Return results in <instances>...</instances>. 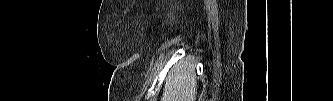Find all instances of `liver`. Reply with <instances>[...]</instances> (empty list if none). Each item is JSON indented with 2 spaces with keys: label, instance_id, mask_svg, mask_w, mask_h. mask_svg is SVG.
Wrapping results in <instances>:
<instances>
[{
  "label": "liver",
  "instance_id": "liver-1",
  "mask_svg": "<svg viewBox=\"0 0 333 101\" xmlns=\"http://www.w3.org/2000/svg\"><path fill=\"white\" fill-rule=\"evenodd\" d=\"M195 64L191 60L181 61L173 67L166 78L162 101H195Z\"/></svg>",
  "mask_w": 333,
  "mask_h": 101
}]
</instances>
